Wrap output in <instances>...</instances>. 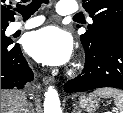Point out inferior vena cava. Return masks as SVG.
<instances>
[{
    "mask_svg": "<svg viewBox=\"0 0 123 113\" xmlns=\"http://www.w3.org/2000/svg\"><path fill=\"white\" fill-rule=\"evenodd\" d=\"M23 113H31L29 110H28V104H26L25 106V109H24V112Z\"/></svg>",
    "mask_w": 123,
    "mask_h": 113,
    "instance_id": "obj_1",
    "label": "inferior vena cava"
}]
</instances>
